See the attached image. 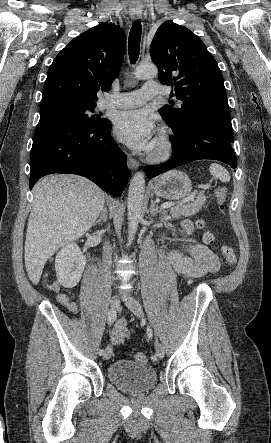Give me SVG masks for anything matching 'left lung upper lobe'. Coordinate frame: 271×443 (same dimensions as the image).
<instances>
[{
  "instance_id": "5c2ea615",
  "label": "left lung upper lobe",
  "mask_w": 271,
  "mask_h": 443,
  "mask_svg": "<svg viewBox=\"0 0 271 443\" xmlns=\"http://www.w3.org/2000/svg\"><path fill=\"white\" fill-rule=\"evenodd\" d=\"M150 54L159 69L160 82L174 86L176 98L183 102L177 108L165 105L160 109L169 126L189 121L201 109L230 114L218 64L192 31L172 21L164 22L154 35Z\"/></svg>"
}]
</instances>
